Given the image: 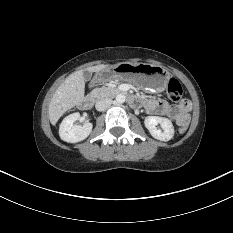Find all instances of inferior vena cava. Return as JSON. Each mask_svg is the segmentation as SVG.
<instances>
[{"label":"inferior vena cava","instance_id":"602c4592","mask_svg":"<svg viewBox=\"0 0 233 233\" xmlns=\"http://www.w3.org/2000/svg\"><path fill=\"white\" fill-rule=\"evenodd\" d=\"M112 102V99H100L96 102L95 107L98 111H104L111 106Z\"/></svg>","mask_w":233,"mask_h":233}]
</instances>
